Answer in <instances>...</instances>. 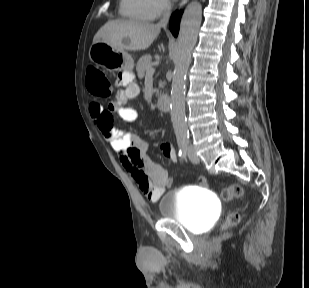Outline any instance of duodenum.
<instances>
[{
    "label": "duodenum",
    "instance_id": "obj_1",
    "mask_svg": "<svg viewBox=\"0 0 309 288\" xmlns=\"http://www.w3.org/2000/svg\"><path fill=\"white\" fill-rule=\"evenodd\" d=\"M157 107L161 111H169L171 106V98L167 94H163L157 98Z\"/></svg>",
    "mask_w": 309,
    "mask_h": 288
}]
</instances>
